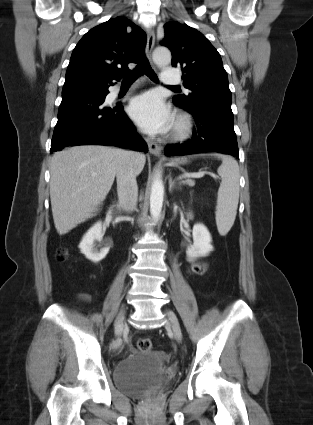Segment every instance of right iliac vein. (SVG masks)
<instances>
[{
  "label": "right iliac vein",
  "mask_w": 313,
  "mask_h": 425,
  "mask_svg": "<svg viewBox=\"0 0 313 425\" xmlns=\"http://www.w3.org/2000/svg\"><path fill=\"white\" fill-rule=\"evenodd\" d=\"M124 314H125V310L122 309L120 311V313L118 314V316L116 318V321H115V324H114L115 331H120L123 328V325H124Z\"/></svg>",
  "instance_id": "obj_1"
}]
</instances>
